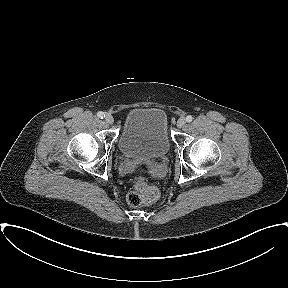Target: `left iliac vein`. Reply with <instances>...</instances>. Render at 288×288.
I'll list each match as a JSON object with an SVG mask.
<instances>
[{"label": "left iliac vein", "instance_id": "4c4485c4", "mask_svg": "<svg viewBox=\"0 0 288 288\" xmlns=\"http://www.w3.org/2000/svg\"><path fill=\"white\" fill-rule=\"evenodd\" d=\"M185 124H186V119L184 117H181V118L178 119L177 126L179 128H182Z\"/></svg>", "mask_w": 288, "mask_h": 288}]
</instances>
